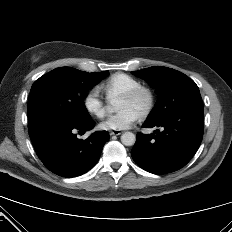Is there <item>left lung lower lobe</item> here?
Segmentation results:
<instances>
[{
    "label": "left lung lower lobe",
    "instance_id": "1",
    "mask_svg": "<svg viewBox=\"0 0 232 232\" xmlns=\"http://www.w3.org/2000/svg\"><path fill=\"white\" fill-rule=\"evenodd\" d=\"M143 127H162L154 134L138 133L131 151L135 163L154 174H166L185 166L198 150L204 127L202 103L178 109Z\"/></svg>",
    "mask_w": 232,
    "mask_h": 232
}]
</instances>
